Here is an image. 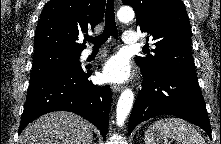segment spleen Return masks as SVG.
<instances>
[{"mask_svg": "<svg viewBox=\"0 0 221 144\" xmlns=\"http://www.w3.org/2000/svg\"><path fill=\"white\" fill-rule=\"evenodd\" d=\"M155 131L161 138H171L181 144H205L203 137L187 121L168 117L153 123L145 133V144H155Z\"/></svg>", "mask_w": 221, "mask_h": 144, "instance_id": "spleen-1", "label": "spleen"}]
</instances>
